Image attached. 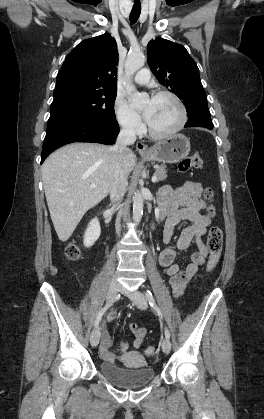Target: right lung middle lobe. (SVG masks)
<instances>
[{"label":"right lung middle lobe","instance_id":"1","mask_svg":"<svg viewBox=\"0 0 264 419\" xmlns=\"http://www.w3.org/2000/svg\"><path fill=\"white\" fill-rule=\"evenodd\" d=\"M117 91L96 90L68 84L54 90L47 132L78 120H116L114 102Z\"/></svg>","mask_w":264,"mask_h":419}]
</instances>
